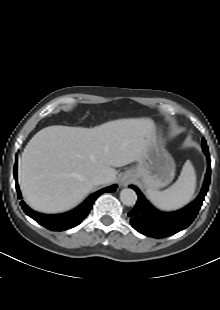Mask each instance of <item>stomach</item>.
I'll return each mask as SVG.
<instances>
[{"instance_id": "0dacf381", "label": "stomach", "mask_w": 220, "mask_h": 310, "mask_svg": "<svg viewBox=\"0 0 220 310\" xmlns=\"http://www.w3.org/2000/svg\"><path fill=\"white\" fill-rule=\"evenodd\" d=\"M127 173L132 174L135 180H140L147 189L158 190L171 183L175 175V164L157 132L145 154Z\"/></svg>"}]
</instances>
